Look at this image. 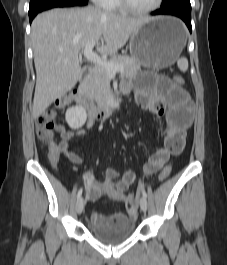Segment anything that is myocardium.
<instances>
[{"mask_svg":"<svg viewBox=\"0 0 227 265\" xmlns=\"http://www.w3.org/2000/svg\"><path fill=\"white\" fill-rule=\"evenodd\" d=\"M119 1L124 10L130 13L139 14V15L149 14V13L154 12L158 10L163 3V0H157L156 3L152 7H149L146 9H138L131 4L130 0H119Z\"/></svg>","mask_w":227,"mask_h":265,"instance_id":"f54148a6","label":"myocardium"}]
</instances>
